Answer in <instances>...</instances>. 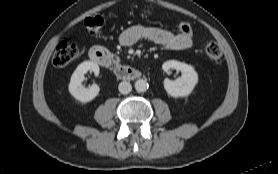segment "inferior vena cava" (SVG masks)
Masks as SVG:
<instances>
[{"instance_id": "inferior-vena-cava-1", "label": "inferior vena cava", "mask_w": 278, "mask_h": 174, "mask_svg": "<svg viewBox=\"0 0 278 174\" xmlns=\"http://www.w3.org/2000/svg\"><path fill=\"white\" fill-rule=\"evenodd\" d=\"M118 89L122 94H128L132 90V86L129 82L123 81L119 84Z\"/></svg>"}]
</instances>
